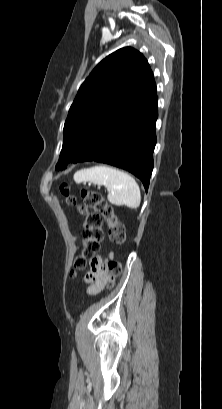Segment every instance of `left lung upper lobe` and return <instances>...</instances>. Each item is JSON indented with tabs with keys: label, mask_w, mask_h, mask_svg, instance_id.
I'll return each instance as SVG.
<instances>
[{
	"label": "left lung upper lobe",
	"mask_w": 222,
	"mask_h": 409,
	"mask_svg": "<svg viewBox=\"0 0 222 409\" xmlns=\"http://www.w3.org/2000/svg\"><path fill=\"white\" fill-rule=\"evenodd\" d=\"M155 95L153 73L140 52L126 47L103 59L83 82L70 107L57 169L74 162L128 99L145 102Z\"/></svg>",
	"instance_id": "5c2ea615"
}]
</instances>
